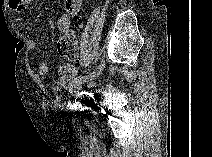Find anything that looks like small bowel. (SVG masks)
<instances>
[{"label":"small bowel","instance_id":"small-bowel-1","mask_svg":"<svg viewBox=\"0 0 212 157\" xmlns=\"http://www.w3.org/2000/svg\"><path fill=\"white\" fill-rule=\"evenodd\" d=\"M8 7L16 12H21L24 10V3L22 0H8ZM81 7L80 0H66L65 2V12L57 19V29L59 32H64L68 30L71 26V16L76 14ZM30 49H35L37 42L35 40H30L28 44ZM49 71V66L47 62L42 61L36 69V75L39 77H44ZM75 67L71 63H63L58 69V78L55 83V90L61 91L67 87L68 82L74 77Z\"/></svg>","mask_w":212,"mask_h":157}]
</instances>
